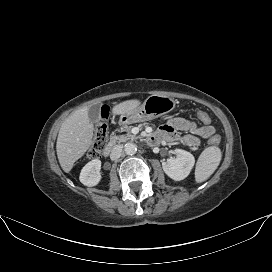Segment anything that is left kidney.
<instances>
[{"mask_svg": "<svg viewBox=\"0 0 272 272\" xmlns=\"http://www.w3.org/2000/svg\"><path fill=\"white\" fill-rule=\"evenodd\" d=\"M176 158H168L162 163V168L166 175L175 181L185 179L195 164L194 156L182 149L175 150Z\"/></svg>", "mask_w": 272, "mask_h": 272, "instance_id": "left-kidney-1", "label": "left kidney"}]
</instances>
